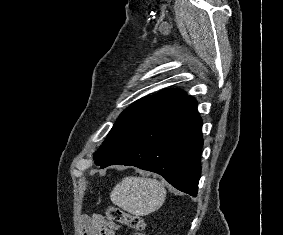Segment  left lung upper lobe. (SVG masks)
<instances>
[{
  "label": "left lung upper lobe",
  "mask_w": 283,
  "mask_h": 235,
  "mask_svg": "<svg viewBox=\"0 0 283 235\" xmlns=\"http://www.w3.org/2000/svg\"><path fill=\"white\" fill-rule=\"evenodd\" d=\"M188 97L180 90H168L140 100L121 113L94 158L97 165L104 163L110 154L142 126L173 104Z\"/></svg>",
  "instance_id": "obj_1"
}]
</instances>
